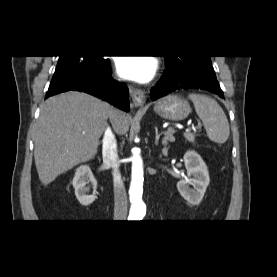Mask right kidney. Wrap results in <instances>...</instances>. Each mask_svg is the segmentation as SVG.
<instances>
[{"label":"right kidney","instance_id":"1","mask_svg":"<svg viewBox=\"0 0 277 277\" xmlns=\"http://www.w3.org/2000/svg\"><path fill=\"white\" fill-rule=\"evenodd\" d=\"M89 183L93 188L92 195H88L90 186L87 185ZM72 184L75 189L76 198L81 205L88 206L95 200L97 181L93 176L89 165H81L76 169Z\"/></svg>","mask_w":277,"mask_h":277}]
</instances>
